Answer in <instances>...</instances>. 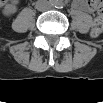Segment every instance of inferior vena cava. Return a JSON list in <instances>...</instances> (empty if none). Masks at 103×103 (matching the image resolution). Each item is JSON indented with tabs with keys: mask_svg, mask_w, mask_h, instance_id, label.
<instances>
[{
	"mask_svg": "<svg viewBox=\"0 0 103 103\" xmlns=\"http://www.w3.org/2000/svg\"><path fill=\"white\" fill-rule=\"evenodd\" d=\"M36 8L39 11H45L50 8V3L47 0H39L36 2Z\"/></svg>",
	"mask_w": 103,
	"mask_h": 103,
	"instance_id": "1",
	"label": "inferior vena cava"
}]
</instances>
